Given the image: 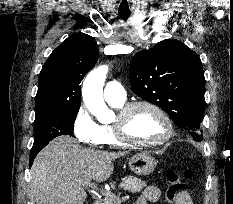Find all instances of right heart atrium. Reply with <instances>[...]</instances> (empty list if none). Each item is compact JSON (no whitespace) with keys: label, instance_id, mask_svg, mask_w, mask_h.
Returning <instances> with one entry per match:
<instances>
[{"label":"right heart atrium","instance_id":"d8ad5b80","mask_svg":"<svg viewBox=\"0 0 233 204\" xmlns=\"http://www.w3.org/2000/svg\"><path fill=\"white\" fill-rule=\"evenodd\" d=\"M72 131L76 139L89 147L102 144L100 125L96 123L85 106H80L73 118Z\"/></svg>","mask_w":233,"mask_h":204}]
</instances>
